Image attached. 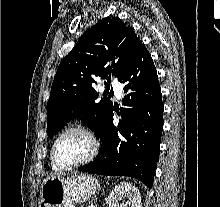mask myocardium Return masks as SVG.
<instances>
[{"instance_id": "obj_1", "label": "myocardium", "mask_w": 220, "mask_h": 207, "mask_svg": "<svg viewBox=\"0 0 220 207\" xmlns=\"http://www.w3.org/2000/svg\"><path fill=\"white\" fill-rule=\"evenodd\" d=\"M70 132H79L83 134L84 136H86L91 143V151L87 155V157H85L83 160L77 163H74V164L63 166V165L58 164L56 160V154H55L56 147H57L58 142L61 140V138ZM99 151H100L99 139L89 128L83 125H72V126H69L63 129L55 138L52 148H51V161H52V164L55 166V168L58 170H72V169H76L81 166H84L90 163L91 161H93L98 155Z\"/></svg>"}]
</instances>
